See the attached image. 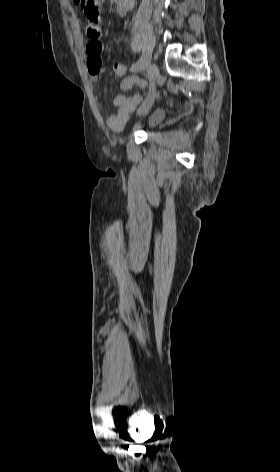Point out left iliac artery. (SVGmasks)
<instances>
[{
	"mask_svg": "<svg viewBox=\"0 0 280 472\" xmlns=\"http://www.w3.org/2000/svg\"><path fill=\"white\" fill-rule=\"evenodd\" d=\"M147 60L148 59H147L146 54H143L142 57L130 67V71L131 72L140 71L141 69L145 67Z\"/></svg>",
	"mask_w": 280,
	"mask_h": 472,
	"instance_id": "1",
	"label": "left iliac artery"
}]
</instances>
